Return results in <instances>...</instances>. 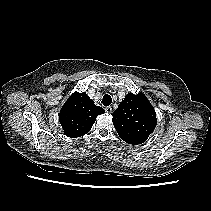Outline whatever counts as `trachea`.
<instances>
[{
	"instance_id": "trachea-1",
	"label": "trachea",
	"mask_w": 211,
	"mask_h": 211,
	"mask_svg": "<svg viewBox=\"0 0 211 211\" xmlns=\"http://www.w3.org/2000/svg\"><path fill=\"white\" fill-rule=\"evenodd\" d=\"M102 103L104 106H109L112 103V98L110 95L105 94L102 99Z\"/></svg>"
}]
</instances>
